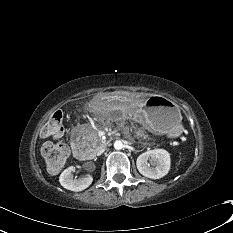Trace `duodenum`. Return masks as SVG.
<instances>
[{"mask_svg": "<svg viewBox=\"0 0 233 233\" xmlns=\"http://www.w3.org/2000/svg\"><path fill=\"white\" fill-rule=\"evenodd\" d=\"M72 147L77 158L81 160L89 159L90 153L83 143L75 141L73 142Z\"/></svg>", "mask_w": 233, "mask_h": 233, "instance_id": "410a0bca", "label": "duodenum"}]
</instances>
